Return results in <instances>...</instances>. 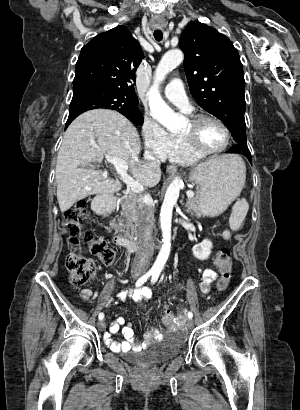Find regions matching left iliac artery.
Masks as SVG:
<instances>
[{"instance_id": "1", "label": "left iliac artery", "mask_w": 300, "mask_h": 410, "mask_svg": "<svg viewBox=\"0 0 300 410\" xmlns=\"http://www.w3.org/2000/svg\"><path fill=\"white\" fill-rule=\"evenodd\" d=\"M159 274H160L159 272H154V273H153L152 279H151V282H152V283H155V282L158 280ZM187 315H188V318L192 319V317H193L192 312H188Z\"/></svg>"}]
</instances>
